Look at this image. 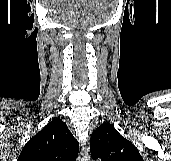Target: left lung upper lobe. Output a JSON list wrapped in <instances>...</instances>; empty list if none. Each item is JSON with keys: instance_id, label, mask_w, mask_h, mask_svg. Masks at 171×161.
Wrapping results in <instances>:
<instances>
[{"instance_id": "obj_1", "label": "left lung upper lobe", "mask_w": 171, "mask_h": 161, "mask_svg": "<svg viewBox=\"0 0 171 161\" xmlns=\"http://www.w3.org/2000/svg\"><path fill=\"white\" fill-rule=\"evenodd\" d=\"M92 159L101 161H144L137 148L110 123L98 127L90 139Z\"/></svg>"}]
</instances>
